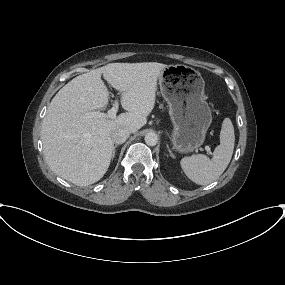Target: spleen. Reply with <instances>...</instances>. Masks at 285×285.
I'll use <instances>...</instances> for the list:
<instances>
[{"label": "spleen", "instance_id": "obj_1", "mask_svg": "<svg viewBox=\"0 0 285 285\" xmlns=\"http://www.w3.org/2000/svg\"><path fill=\"white\" fill-rule=\"evenodd\" d=\"M235 144L234 127L225 118L220 131V144L215 148L213 157L198 154L184 157L180 164L187 177L199 185H208L225 171L232 158Z\"/></svg>", "mask_w": 285, "mask_h": 285}]
</instances>
